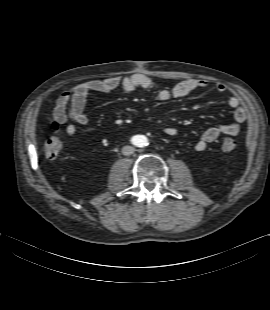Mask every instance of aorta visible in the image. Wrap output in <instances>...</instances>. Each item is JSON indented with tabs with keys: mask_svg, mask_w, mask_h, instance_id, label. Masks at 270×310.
Segmentation results:
<instances>
[{
	"mask_svg": "<svg viewBox=\"0 0 270 310\" xmlns=\"http://www.w3.org/2000/svg\"><path fill=\"white\" fill-rule=\"evenodd\" d=\"M137 143H138V145H139L140 147L146 145V144H147V139H146V137H144V136H139V137L137 138Z\"/></svg>",
	"mask_w": 270,
	"mask_h": 310,
	"instance_id": "1",
	"label": "aorta"
}]
</instances>
